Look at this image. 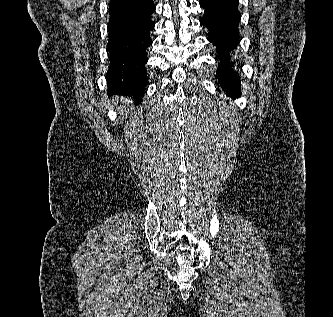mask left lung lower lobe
<instances>
[{
	"label": "left lung lower lobe",
	"mask_w": 333,
	"mask_h": 317,
	"mask_svg": "<svg viewBox=\"0 0 333 317\" xmlns=\"http://www.w3.org/2000/svg\"><path fill=\"white\" fill-rule=\"evenodd\" d=\"M199 4L204 9L200 24L208 29L207 39L216 47L220 61L217 78L226 94L234 96L241 86L240 77L230 63V53L240 41L239 0H200Z\"/></svg>",
	"instance_id": "left-lung-lower-lobe-1"
}]
</instances>
